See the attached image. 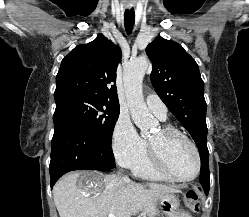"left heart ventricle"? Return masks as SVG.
<instances>
[{
    "label": "left heart ventricle",
    "mask_w": 249,
    "mask_h": 217,
    "mask_svg": "<svg viewBox=\"0 0 249 217\" xmlns=\"http://www.w3.org/2000/svg\"><path fill=\"white\" fill-rule=\"evenodd\" d=\"M149 141L164 154L171 172L182 178L191 176L196 168V158L191 146L180 137L167 138L161 130L149 137Z\"/></svg>",
    "instance_id": "obj_1"
}]
</instances>
